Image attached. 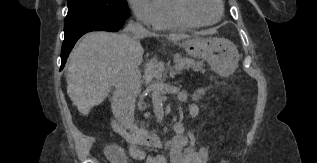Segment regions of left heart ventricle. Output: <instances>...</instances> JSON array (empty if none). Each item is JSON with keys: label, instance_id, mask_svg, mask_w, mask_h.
<instances>
[{"label": "left heart ventricle", "instance_id": "left-heart-ventricle-1", "mask_svg": "<svg viewBox=\"0 0 317 163\" xmlns=\"http://www.w3.org/2000/svg\"><path fill=\"white\" fill-rule=\"evenodd\" d=\"M184 9L189 17L202 21L214 20L220 13L217 0H184Z\"/></svg>", "mask_w": 317, "mask_h": 163}]
</instances>
